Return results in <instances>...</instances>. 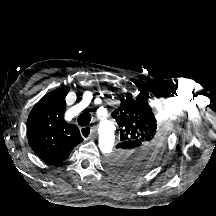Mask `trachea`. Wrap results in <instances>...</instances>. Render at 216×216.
<instances>
[{
    "label": "trachea",
    "mask_w": 216,
    "mask_h": 216,
    "mask_svg": "<svg viewBox=\"0 0 216 216\" xmlns=\"http://www.w3.org/2000/svg\"><path fill=\"white\" fill-rule=\"evenodd\" d=\"M91 114L90 113H82L78 116L77 122L80 126H87L91 121ZM89 133L85 134L87 137Z\"/></svg>",
    "instance_id": "1"
}]
</instances>
